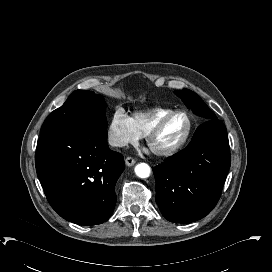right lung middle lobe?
Listing matches in <instances>:
<instances>
[{"label": "right lung middle lobe", "instance_id": "right-lung-middle-lobe-1", "mask_svg": "<svg viewBox=\"0 0 272 272\" xmlns=\"http://www.w3.org/2000/svg\"><path fill=\"white\" fill-rule=\"evenodd\" d=\"M104 98L92 91L76 90L66 102L50 113L44 121L40 135L64 126L98 123L107 129Z\"/></svg>", "mask_w": 272, "mask_h": 272}]
</instances>
